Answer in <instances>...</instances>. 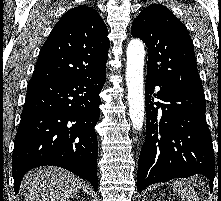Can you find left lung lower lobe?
Wrapping results in <instances>:
<instances>
[{
	"label": "left lung lower lobe",
	"mask_w": 221,
	"mask_h": 201,
	"mask_svg": "<svg viewBox=\"0 0 221 201\" xmlns=\"http://www.w3.org/2000/svg\"><path fill=\"white\" fill-rule=\"evenodd\" d=\"M156 85L160 91L154 94ZM154 97L162 102H153ZM145 98L147 132L138 161V191L195 174L209 178L212 191L215 158L204 94L165 87L147 76Z\"/></svg>",
	"instance_id": "0a47b994"
}]
</instances>
